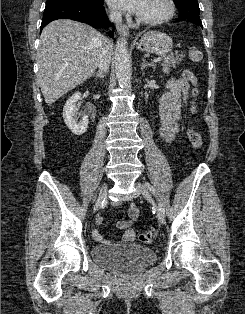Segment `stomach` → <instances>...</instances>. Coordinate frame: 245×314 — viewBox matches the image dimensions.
Returning a JSON list of instances; mask_svg holds the SVG:
<instances>
[{"mask_svg":"<svg viewBox=\"0 0 245 314\" xmlns=\"http://www.w3.org/2000/svg\"><path fill=\"white\" fill-rule=\"evenodd\" d=\"M137 48L141 51L156 55H166L173 49V40L166 33L148 31L137 43Z\"/></svg>","mask_w":245,"mask_h":314,"instance_id":"obj_1","label":"stomach"}]
</instances>
